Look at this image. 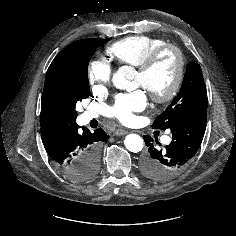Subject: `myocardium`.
Returning <instances> with one entry per match:
<instances>
[{"instance_id": "obj_1", "label": "myocardium", "mask_w": 236, "mask_h": 236, "mask_svg": "<svg viewBox=\"0 0 236 236\" xmlns=\"http://www.w3.org/2000/svg\"><path fill=\"white\" fill-rule=\"evenodd\" d=\"M168 51H172L175 53L177 57V69H176V74L174 77V80L170 86V88L165 91L164 93H155L149 89L147 91L149 92L151 98L153 99L154 102L159 103V104H165L170 101H172L175 96L177 95L183 79L185 75V66H186V61L184 54L182 50L174 45V44H164L155 50H153L146 58L145 60L138 66V72L146 76L148 75L153 68L156 66L157 62L159 61L160 57Z\"/></svg>"}]
</instances>
